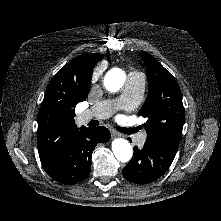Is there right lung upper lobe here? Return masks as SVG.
I'll return each instance as SVG.
<instances>
[{
  "label": "right lung upper lobe",
  "instance_id": "obj_1",
  "mask_svg": "<svg viewBox=\"0 0 221 221\" xmlns=\"http://www.w3.org/2000/svg\"><path fill=\"white\" fill-rule=\"evenodd\" d=\"M102 54L71 60L52 78L38 114V152L45 171L54 169L68 138L78 130L74 107L87 97L92 71Z\"/></svg>",
  "mask_w": 221,
  "mask_h": 221
}]
</instances>
